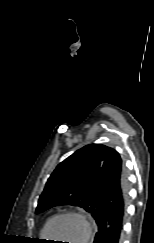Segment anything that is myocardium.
<instances>
[{
	"label": "myocardium",
	"mask_w": 154,
	"mask_h": 243,
	"mask_svg": "<svg viewBox=\"0 0 154 243\" xmlns=\"http://www.w3.org/2000/svg\"><path fill=\"white\" fill-rule=\"evenodd\" d=\"M62 217H73L78 219L82 226H83V235L81 240L79 241V243H87L90 236H91V225L88 221V219L86 218V216L80 212H76V211H63V212H59L55 215H53L47 222L46 227H45V236L49 237V231L50 228L52 226V224L54 223L55 220L62 218Z\"/></svg>",
	"instance_id": "f54148a6"
}]
</instances>
